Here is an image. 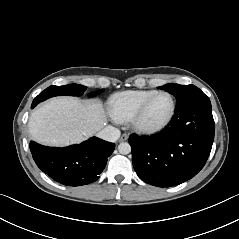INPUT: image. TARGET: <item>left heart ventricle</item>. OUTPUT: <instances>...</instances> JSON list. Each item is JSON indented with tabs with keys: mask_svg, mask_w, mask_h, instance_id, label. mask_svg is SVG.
I'll use <instances>...</instances> for the list:
<instances>
[{
	"mask_svg": "<svg viewBox=\"0 0 239 239\" xmlns=\"http://www.w3.org/2000/svg\"><path fill=\"white\" fill-rule=\"evenodd\" d=\"M171 110V100L166 95H160L154 98L143 115V122L149 125H155L163 121Z\"/></svg>",
	"mask_w": 239,
	"mask_h": 239,
	"instance_id": "left-heart-ventricle-1",
	"label": "left heart ventricle"
}]
</instances>
